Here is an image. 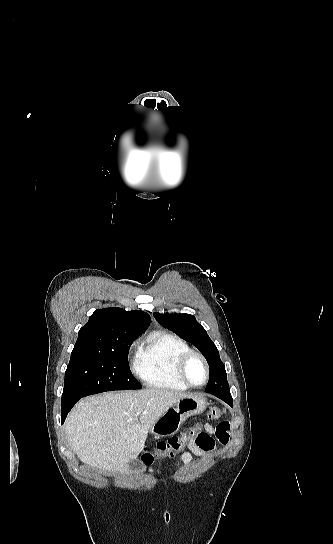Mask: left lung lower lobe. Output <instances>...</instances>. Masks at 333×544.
Instances as JSON below:
<instances>
[{
  "instance_id": "0a47b994",
  "label": "left lung lower lobe",
  "mask_w": 333,
  "mask_h": 544,
  "mask_svg": "<svg viewBox=\"0 0 333 544\" xmlns=\"http://www.w3.org/2000/svg\"><path fill=\"white\" fill-rule=\"evenodd\" d=\"M210 394L220 398L221 400L226 402L228 405L233 406V400L229 392H210Z\"/></svg>"
}]
</instances>
